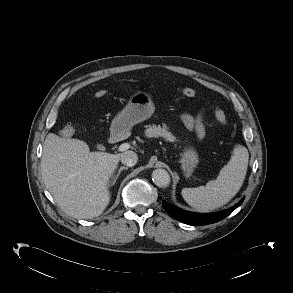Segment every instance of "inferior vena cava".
<instances>
[{
    "label": "inferior vena cava",
    "instance_id": "obj_1",
    "mask_svg": "<svg viewBox=\"0 0 293 293\" xmlns=\"http://www.w3.org/2000/svg\"><path fill=\"white\" fill-rule=\"evenodd\" d=\"M120 160L122 164L132 167L137 163L138 157H137V154L134 153L133 151H127L121 155Z\"/></svg>",
    "mask_w": 293,
    "mask_h": 293
}]
</instances>
